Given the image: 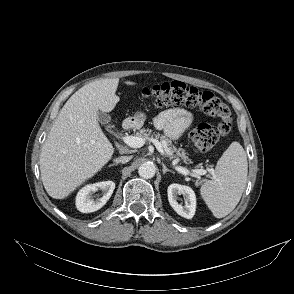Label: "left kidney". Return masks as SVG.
Here are the masks:
<instances>
[{
  "mask_svg": "<svg viewBox=\"0 0 294 294\" xmlns=\"http://www.w3.org/2000/svg\"><path fill=\"white\" fill-rule=\"evenodd\" d=\"M167 193L168 201L177 214L186 219H191L194 216L196 210V195L189 186L174 183L169 185ZM180 194L184 197V205H181L177 201V195Z\"/></svg>",
  "mask_w": 294,
  "mask_h": 294,
  "instance_id": "left-kidney-1",
  "label": "left kidney"
}]
</instances>
